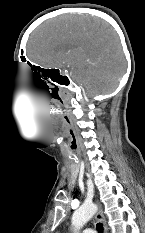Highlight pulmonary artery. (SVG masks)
Here are the masks:
<instances>
[{"mask_svg": "<svg viewBox=\"0 0 145 233\" xmlns=\"http://www.w3.org/2000/svg\"><path fill=\"white\" fill-rule=\"evenodd\" d=\"M82 233H96V232L92 229H85V230H83Z\"/></svg>", "mask_w": 145, "mask_h": 233, "instance_id": "pulmonary-artery-1", "label": "pulmonary artery"}]
</instances>
